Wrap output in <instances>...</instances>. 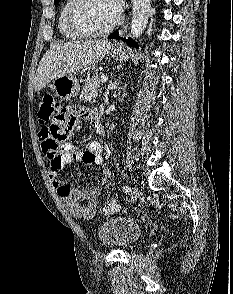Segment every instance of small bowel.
<instances>
[{"instance_id": "small-bowel-1", "label": "small bowel", "mask_w": 233, "mask_h": 294, "mask_svg": "<svg viewBox=\"0 0 233 294\" xmlns=\"http://www.w3.org/2000/svg\"><path fill=\"white\" fill-rule=\"evenodd\" d=\"M86 106V103L66 104V108L52 110V115L56 117H52L48 126H43L39 133L42 150L49 161V176L52 184L69 213L80 220H89L94 216L96 199L101 192L102 185L110 178V170L104 164L100 142H89L85 150L63 142L73 137L71 131L80 122V118L98 129L99 123L94 111ZM74 161L100 166L102 168L101 181L87 189H79L63 181L61 171Z\"/></svg>"}]
</instances>
